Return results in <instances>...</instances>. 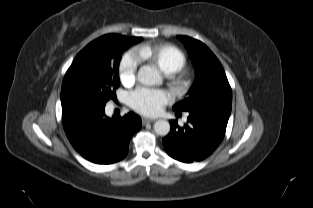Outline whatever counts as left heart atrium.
I'll list each match as a JSON object with an SVG mask.
<instances>
[{"label": "left heart atrium", "mask_w": 313, "mask_h": 208, "mask_svg": "<svg viewBox=\"0 0 313 208\" xmlns=\"http://www.w3.org/2000/svg\"><path fill=\"white\" fill-rule=\"evenodd\" d=\"M169 100V95L165 91L149 88H139L129 97L131 107L148 116L158 115Z\"/></svg>", "instance_id": "1"}]
</instances>
